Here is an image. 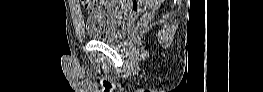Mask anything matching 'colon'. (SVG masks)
I'll list each match as a JSON object with an SVG mask.
<instances>
[{
    "label": "colon",
    "instance_id": "5ec220e1",
    "mask_svg": "<svg viewBox=\"0 0 263 92\" xmlns=\"http://www.w3.org/2000/svg\"><path fill=\"white\" fill-rule=\"evenodd\" d=\"M148 1H132V7L133 9H138L141 5H143L144 3H146ZM96 7H92V10H94Z\"/></svg>",
    "mask_w": 263,
    "mask_h": 92
}]
</instances>
